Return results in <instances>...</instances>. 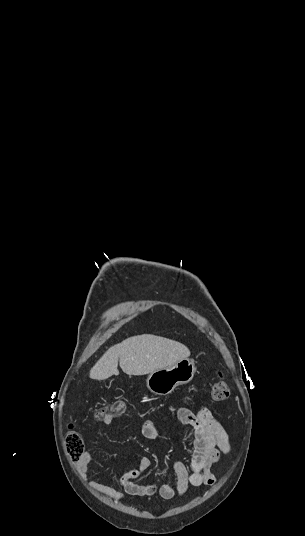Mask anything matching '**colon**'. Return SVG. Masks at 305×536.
I'll list each match as a JSON object with an SVG mask.
<instances>
[{"label":"colon","instance_id":"obj_1","mask_svg":"<svg viewBox=\"0 0 305 536\" xmlns=\"http://www.w3.org/2000/svg\"><path fill=\"white\" fill-rule=\"evenodd\" d=\"M229 396V387L225 380L220 379L216 381L212 387L210 393V400L212 403H220L226 400ZM127 403L125 401H116L113 404L102 406L95 412V417L98 421L106 423L107 416L112 415L115 418L122 415L125 411ZM63 443L67 447L69 452L68 459L71 462H77L80 459V453L82 452V446L85 443L83 435H77L76 433H70L65 435Z\"/></svg>","mask_w":305,"mask_h":536}]
</instances>
